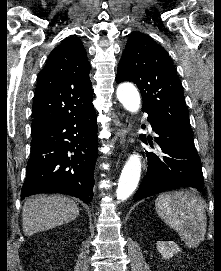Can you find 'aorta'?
Segmentation results:
<instances>
[{"mask_svg":"<svg viewBox=\"0 0 221 271\" xmlns=\"http://www.w3.org/2000/svg\"><path fill=\"white\" fill-rule=\"evenodd\" d=\"M117 98L126 110L136 113L140 108V95L137 88L131 83H123L117 88ZM141 174V158L133 153L128 158L121 172L116 197L118 201L129 198L137 188Z\"/></svg>","mask_w":221,"mask_h":271,"instance_id":"aorta-1","label":"aorta"}]
</instances>
